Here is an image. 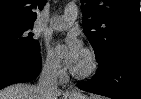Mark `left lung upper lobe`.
<instances>
[{
	"label": "left lung upper lobe",
	"mask_w": 141,
	"mask_h": 99,
	"mask_svg": "<svg viewBox=\"0 0 141 99\" xmlns=\"http://www.w3.org/2000/svg\"><path fill=\"white\" fill-rule=\"evenodd\" d=\"M84 33L98 60L121 49L141 50L139 0H81Z\"/></svg>",
	"instance_id": "obj_1"
}]
</instances>
